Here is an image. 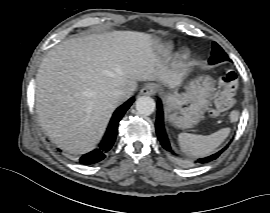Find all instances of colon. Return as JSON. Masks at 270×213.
<instances>
[{
  "instance_id": "colon-1",
  "label": "colon",
  "mask_w": 270,
  "mask_h": 213,
  "mask_svg": "<svg viewBox=\"0 0 270 213\" xmlns=\"http://www.w3.org/2000/svg\"><path fill=\"white\" fill-rule=\"evenodd\" d=\"M238 85L237 75L233 70L225 71L220 77L217 90L215 91L212 102L214 115L229 110L235 103V92Z\"/></svg>"
}]
</instances>
